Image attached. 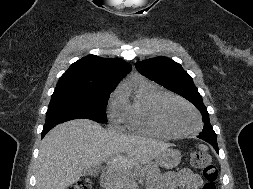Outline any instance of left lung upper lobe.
Instances as JSON below:
<instances>
[{"label":"left lung upper lobe","mask_w":253,"mask_h":189,"mask_svg":"<svg viewBox=\"0 0 253 189\" xmlns=\"http://www.w3.org/2000/svg\"><path fill=\"white\" fill-rule=\"evenodd\" d=\"M137 70L150 80L181 95L196 106L203 114L204 128L201 134L216 136L210 122L207 108L203 104L193 79L182 66L167 57H156L136 62Z\"/></svg>","instance_id":"1"}]
</instances>
